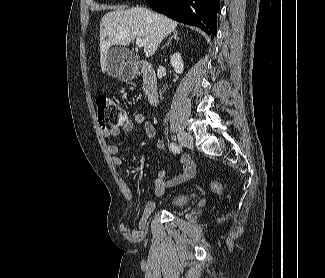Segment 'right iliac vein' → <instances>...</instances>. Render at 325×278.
<instances>
[{"label": "right iliac vein", "instance_id": "obj_1", "mask_svg": "<svg viewBox=\"0 0 325 278\" xmlns=\"http://www.w3.org/2000/svg\"><path fill=\"white\" fill-rule=\"evenodd\" d=\"M177 138L183 146L188 147V148L193 147L194 140H193V137L189 133H187L185 131H179L177 133Z\"/></svg>", "mask_w": 325, "mask_h": 278}]
</instances>
